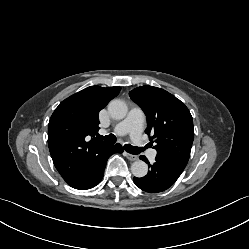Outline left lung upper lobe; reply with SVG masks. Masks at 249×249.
Returning a JSON list of instances; mask_svg holds the SVG:
<instances>
[{
	"label": "left lung upper lobe",
	"instance_id": "5c2ea615",
	"mask_svg": "<svg viewBox=\"0 0 249 249\" xmlns=\"http://www.w3.org/2000/svg\"><path fill=\"white\" fill-rule=\"evenodd\" d=\"M129 96L146 114L145 132L153 135L150 143L154 139L156 159L184 170L194 139L188 108L174 95L153 86L135 88Z\"/></svg>",
	"mask_w": 249,
	"mask_h": 249
}]
</instances>
